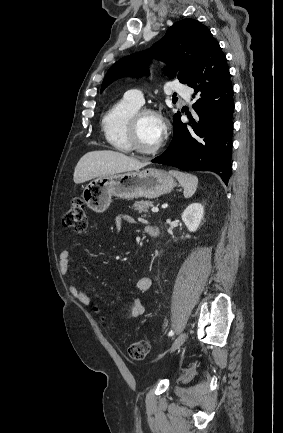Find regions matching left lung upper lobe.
Here are the masks:
<instances>
[{
    "instance_id": "5c2ea615",
    "label": "left lung upper lobe",
    "mask_w": 283,
    "mask_h": 433,
    "mask_svg": "<svg viewBox=\"0 0 283 433\" xmlns=\"http://www.w3.org/2000/svg\"><path fill=\"white\" fill-rule=\"evenodd\" d=\"M215 43L218 42L206 26L194 19H183L174 23L148 52H139L114 63L103 80L101 91L122 76H141L151 57L169 63L175 61V65L166 67L164 72L174 76L179 70L178 79L186 84L197 64Z\"/></svg>"
}]
</instances>
